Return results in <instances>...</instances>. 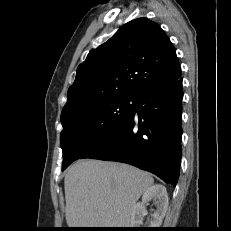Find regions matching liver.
Here are the masks:
<instances>
[{"mask_svg":"<svg viewBox=\"0 0 231 231\" xmlns=\"http://www.w3.org/2000/svg\"><path fill=\"white\" fill-rule=\"evenodd\" d=\"M152 176L127 164L80 160L64 178L69 228H129L137 200Z\"/></svg>","mask_w":231,"mask_h":231,"instance_id":"1","label":"liver"}]
</instances>
